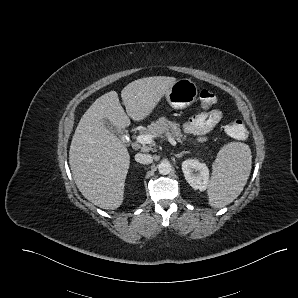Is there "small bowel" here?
<instances>
[{"label": "small bowel", "instance_id": "small-bowel-1", "mask_svg": "<svg viewBox=\"0 0 298 298\" xmlns=\"http://www.w3.org/2000/svg\"><path fill=\"white\" fill-rule=\"evenodd\" d=\"M223 113L214 109L190 118L183 126L184 131L196 136H204L210 132L222 119Z\"/></svg>", "mask_w": 298, "mask_h": 298}]
</instances>
